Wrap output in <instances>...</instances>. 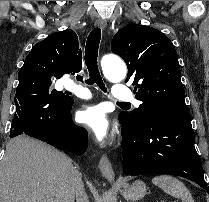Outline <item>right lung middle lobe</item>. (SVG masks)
Listing matches in <instances>:
<instances>
[{
	"mask_svg": "<svg viewBox=\"0 0 209 202\" xmlns=\"http://www.w3.org/2000/svg\"><path fill=\"white\" fill-rule=\"evenodd\" d=\"M19 81H25L26 79H33L36 83L40 84L44 89L50 92L51 95L56 98H64L65 95L61 91H57L52 87L51 77L46 75H33L30 77L27 76H18Z\"/></svg>",
	"mask_w": 209,
	"mask_h": 202,
	"instance_id": "obj_1",
	"label": "right lung middle lobe"
}]
</instances>
